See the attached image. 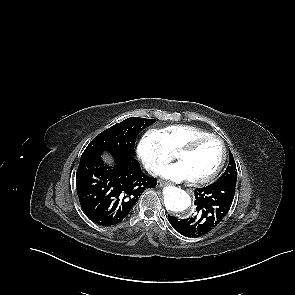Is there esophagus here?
<instances>
[{"instance_id": "obj_1", "label": "esophagus", "mask_w": 295, "mask_h": 295, "mask_svg": "<svg viewBox=\"0 0 295 295\" xmlns=\"http://www.w3.org/2000/svg\"><path fill=\"white\" fill-rule=\"evenodd\" d=\"M163 186H165V183L163 181H159L158 182V187H163Z\"/></svg>"}]
</instances>
